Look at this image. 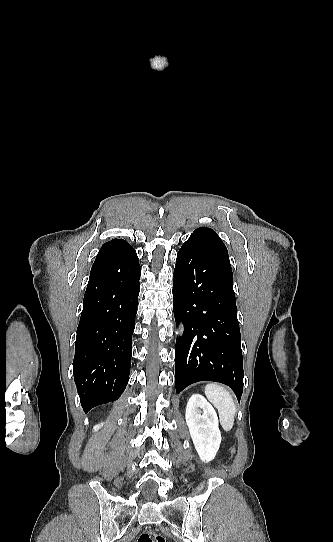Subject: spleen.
Returning <instances> with one entry per match:
<instances>
[{
  "label": "spleen",
  "mask_w": 333,
  "mask_h": 542,
  "mask_svg": "<svg viewBox=\"0 0 333 542\" xmlns=\"http://www.w3.org/2000/svg\"><path fill=\"white\" fill-rule=\"evenodd\" d=\"M205 396L209 402L217 408L219 414V422L225 430L230 432L234 426L236 406L235 402L228 390L218 386V384H207L205 386Z\"/></svg>",
  "instance_id": "obj_1"
}]
</instances>
